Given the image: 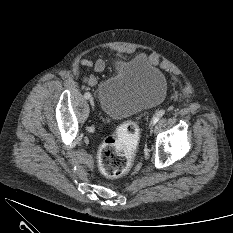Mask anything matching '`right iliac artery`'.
I'll list each match as a JSON object with an SVG mask.
<instances>
[{"label":"right iliac artery","instance_id":"obj_1","mask_svg":"<svg viewBox=\"0 0 233 233\" xmlns=\"http://www.w3.org/2000/svg\"><path fill=\"white\" fill-rule=\"evenodd\" d=\"M84 97H85L86 99H89V98L91 97V94H90L89 92H86V93L84 94Z\"/></svg>","mask_w":233,"mask_h":233}]
</instances>
